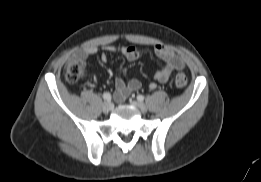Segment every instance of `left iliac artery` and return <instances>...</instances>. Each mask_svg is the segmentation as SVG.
<instances>
[{
	"label": "left iliac artery",
	"instance_id": "obj_1",
	"mask_svg": "<svg viewBox=\"0 0 261 182\" xmlns=\"http://www.w3.org/2000/svg\"><path fill=\"white\" fill-rule=\"evenodd\" d=\"M137 100L140 101V102L144 101V96L141 95V94H139V95L137 96Z\"/></svg>",
	"mask_w": 261,
	"mask_h": 182
}]
</instances>
